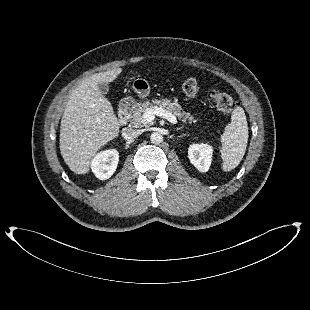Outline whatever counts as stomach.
<instances>
[{"mask_svg": "<svg viewBox=\"0 0 310 310\" xmlns=\"http://www.w3.org/2000/svg\"><path fill=\"white\" fill-rule=\"evenodd\" d=\"M132 88L141 98L147 97L150 93V85L144 78H135L132 83Z\"/></svg>", "mask_w": 310, "mask_h": 310, "instance_id": "0dacf381", "label": "stomach"}]
</instances>
